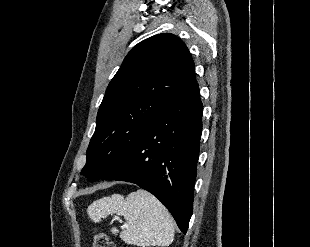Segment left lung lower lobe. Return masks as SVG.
Returning a JSON list of instances; mask_svg holds the SVG:
<instances>
[{
    "label": "left lung lower lobe",
    "mask_w": 310,
    "mask_h": 247,
    "mask_svg": "<svg viewBox=\"0 0 310 247\" xmlns=\"http://www.w3.org/2000/svg\"><path fill=\"white\" fill-rule=\"evenodd\" d=\"M202 112L195 83L149 126L130 154L101 178L135 183L155 195L184 234L193 209Z\"/></svg>",
    "instance_id": "obj_1"
}]
</instances>
